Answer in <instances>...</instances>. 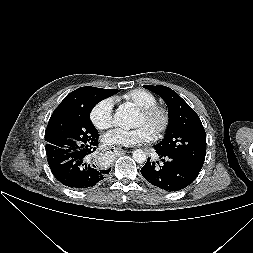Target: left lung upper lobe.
<instances>
[{
	"mask_svg": "<svg viewBox=\"0 0 253 253\" xmlns=\"http://www.w3.org/2000/svg\"><path fill=\"white\" fill-rule=\"evenodd\" d=\"M164 99L169 109V125L164 139L154 146L200 171L206 154V134L196 112L171 88L144 85Z\"/></svg>",
	"mask_w": 253,
	"mask_h": 253,
	"instance_id": "1",
	"label": "left lung upper lobe"
}]
</instances>
